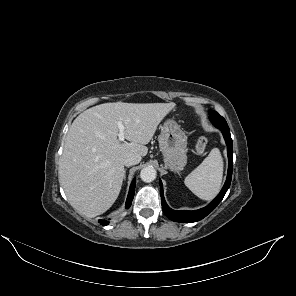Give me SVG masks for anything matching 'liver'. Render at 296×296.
<instances>
[{"instance_id":"6515ba94","label":"liver","mask_w":296,"mask_h":296,"mask_svg":"<svg viewBox=\"0 0 296 296\" xmlns=\"http://www.w3.org/2000/svg\"><path fill=\"white\" fill-rule=\"evenodd\" d=\"M175 103H104L91 107L73 121L59 162V182L71 206L95 217L117 199L125 175L124 158L146 156L145 146ZM125 127L118 140L117 122Z\"/></svg>"}]
</instances>
